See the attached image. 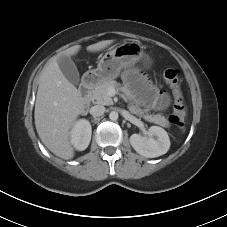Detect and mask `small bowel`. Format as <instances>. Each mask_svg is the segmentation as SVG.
<instances>
[{
	"instance_id": "obj_1",
	"label": "small bowel",
	"mask_w": 227,
	"mask_h": 227,
	"mask_svg": "<svg viewBox=\"0 0 227 227\" xmlns=\"http://www.w3.org/2000/svg\"><path fill=\"white\" fill-rule=\"evenodd\" d=\"M125 85L135 91L139 100L146 106L156 110L168 107L170 99L167 94L158 91L146 78L136 69L130 68L122 75Z\"/></svg>"
}]
</instances>
